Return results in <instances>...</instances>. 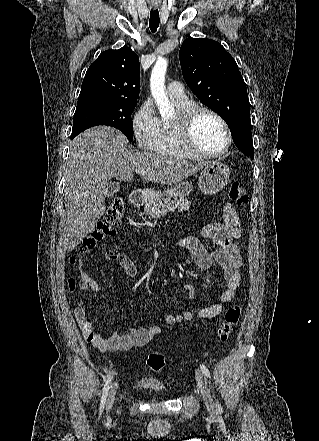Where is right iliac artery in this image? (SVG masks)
Returning <instances> with one entry per match:
<instances>
[{
    "label": "right iliac artery",
    "mask_w": 319,
    "mask_h": 441,
    "mask_svg": "<svg viewBox=\"0 0 319 441\" xmlns=\"http://www.w3.org/2000/svg\"><path fill=\"white\" fill-rule=\"evenodd\" d=\"M111 380H112V376L110 375L108 377V379L106 380L104 388H103V393H102L101 403H100V413L104 409V405H105V402H106L108 391H109V388H110V385H111Z\"/></svg>",
    "instance_id": "right-iliac-artery-1"
}]
</instances>
